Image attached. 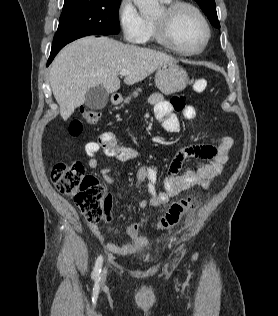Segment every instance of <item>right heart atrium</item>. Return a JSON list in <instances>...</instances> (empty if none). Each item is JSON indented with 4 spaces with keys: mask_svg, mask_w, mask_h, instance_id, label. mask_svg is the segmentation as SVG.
I'll use <instances>...</instances> for the list:
<instances>
[{
    "mask_svg": "<svg viewBox=\"0 0 278 316\" xmlns=\"http://www.w3.org/2000/svg\"><path fill=\"white\" fill-rule=\"evenodd\" d=\"M117 18L124 40L140 43L145 34L146 19L140 15L132 0H120Z\"/></svg>",
    "mask_w": 278,
    "mask_h": 316,
    "instance_id": "obj_1",
    "label": "right heart atrium"
}]
</instances>
